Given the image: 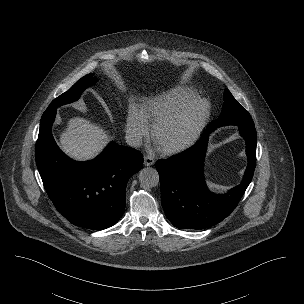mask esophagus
I'll return each mask as SVG.
<instances>
[{
  "instance_id": "obj_1",
  "label": "esophagus",
  "mask_w": 304,
  "mask_h": 304,
  "mask_svg": "<svg viewBox=\"0 0 304 304\" xmlns=\"http://www.w3.org/2000/svg\"><path fill=\"white\" fill-rule=\"evenodd\" d=\"M155 163V160L152 156L146 155L144 157V164L145 166H152Z\"/></svg>"
}]
</instances>
